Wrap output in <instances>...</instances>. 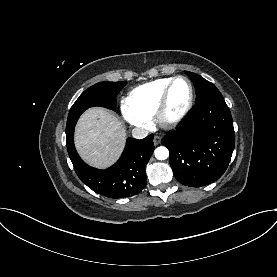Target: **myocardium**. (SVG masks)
Segmentation results:
<instances>
[{"instance_id": "myocardium-1", "label": "myocardium", "mask_w": 277, "mask_h": 277, "mask_svg": "<svg viewBox=\"0 0 277 277\" xmlns=\"http://www.w3.org/2000/svg\"><path fill=\"white\" fill-rule=\"evenodd\" d=\"M179 80H184L188 84L189 98L183 110L177 116L170 118L167 116V108H168V103L170 99V94L173 86ZM193 103H194V87L191 80L185 76H176L169 82L164 92L162 93V96L159 100V103L157 105L154 115L156 117L157 122L161 126L166 128H172L183 122V120L187 117V115L191 111Z\"/></svg>"}]
</instances>
